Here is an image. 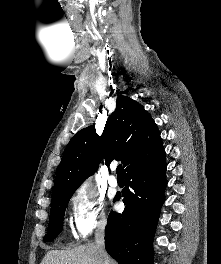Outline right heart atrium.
<instances>
[{"label": "right heart atrium", "instance_id": "right-heart-atrium-1", "mask_svg": "<svg viewBox=\"0 0 221 264\" xmlns=\"http://www.w3.org/2000/svg\"><path fill=\"white\" fill-rule=\"evenodd\" d=\"M71 220L73 234L80 239L95 230L104 229L108 224L102 202L85 188L77 190L71 198Z\"/></svg>", "mask_w": 221, "mask_h": 264}]
</instances>
